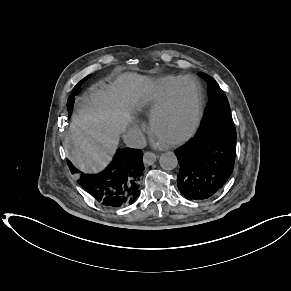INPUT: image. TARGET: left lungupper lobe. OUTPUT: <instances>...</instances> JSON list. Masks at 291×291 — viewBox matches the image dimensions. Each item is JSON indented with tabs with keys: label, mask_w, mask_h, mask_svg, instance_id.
Listing matches in <instances>:
<instances>
[{
	"label": "left lung upper lobe",
	"mask_w": 291,
	"mask_h": 291,
	"mask_svg": "<svg viewBox=\"0 0 291 291\" xmlns=\"http://www.w3.org/2000/svg\"><path fill=\"white\" fill-rule=\"evenodd\" d=\"M199 76L208 83L209 103L198 132L236 138L235 125L225 93L218 83L207 74L200 72Z\"/></svg>",
	"instance_id": "1"
}]
</instances>
